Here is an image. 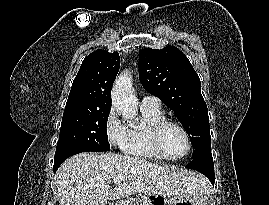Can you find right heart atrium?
I'll use <instances>...</instances> for the list:
<instances>
[{"label": "right heart atrium", "instance_id": "right-heart-atrium-1", "mask_svg": "<svg viewBox=\"0 0 269 205\" xmlns=\"http://www.w3.org/2000/svg\"><path fill=\"white\" fill-rule=\"evenodd\" d=\"M104 131L109 144L123 150L128 144L130 130L119 120L115 109H110L105 122Z\"/></svg>", "mask_w": 269, "mask_h": 205}]
</instances>
